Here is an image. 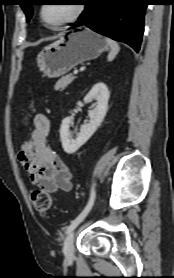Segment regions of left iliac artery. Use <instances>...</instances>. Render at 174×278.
Wrapping results in <instances>:
<instances>
[{"mask_svg":"<svg viewBox=\"0 0 174 278\" xmlns=\"http://www.w3.org/2000/svg\"><path fill=\"white\" fill-rule=\"evenodd\" d=\"M95 188L94 185L91 188V194H90V199L86 205V207L83 209V211L70 223L69 227L67 228V233H69L70 231H72L84 218L85 216L88 214V212L90 211L94 200H95Z\"/></svg>","mask_w":174,"mask_h":278,"instance_id":"44dca946","label":"left iliac artery"}]
</instances>
